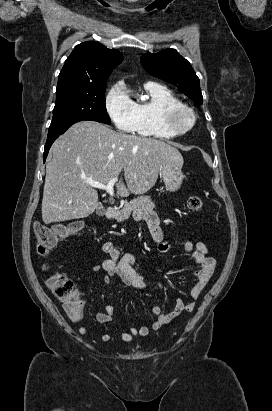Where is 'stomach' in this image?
Here are the masks:
<instances>
[{
	"label": "stomach",
	"mask_w": 272,
	"mask_h": 411,
	"mask_svg": "<svg viewBox=\"0 0 272 411\" xmlns=\"http://www.w3.org/2000/svg\"><path fill=\"white\" fill-rule=\"evenodd\" d=\"M159 173L168 191L175 192L181 187L184 176L177 163L168 161L161 164Z\"/></svg>",
	"instance_id": "0dacf381"
}]
</instances>
